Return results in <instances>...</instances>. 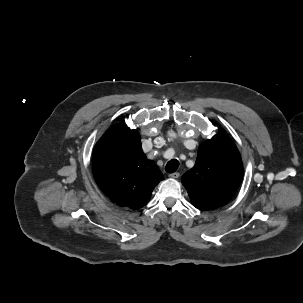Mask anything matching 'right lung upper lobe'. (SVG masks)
Listing matches in <instances>:
<instances>
[{
	"mask_svg": "<svg viewBox=\"0 0 303 303\" xmlns=\"http://www.w3.org/2000/svg\"><path fill=\"white\" fill-rule=\"evenodd\" d=\"M92 170L102 192L117 205L131 209L143 207L163 180L157 165L143 153L139 133L126 126L113 128L97 142Z\"/></svg>",
	"mask_w": 303,
	"mask_h": 303,
	"instance_id": "cb5924a9",
	"label": "right lung upper lobe"
}]
</instances>
